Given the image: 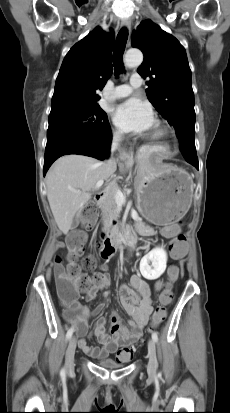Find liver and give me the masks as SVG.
Segmentation results:
<instances>
[{"label":"liver","mask_w":230,"mask_h":413,"mask_svg":"<svg viewBox=\"0 0 230 413\" xmlns=\"http://www.w3.org/2000/svg\"><path fill=\"white\" fill-rule=\"evenodd\" d=\"M115 170L106 169L105 162L78 154L65 155L54 162L46 175L47 198L64 234L70 230L75 214L90 200L96 183L109 181Z\"/></svg>","instance_id":"6515ba94"}]
</instances>
